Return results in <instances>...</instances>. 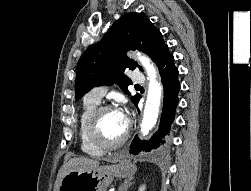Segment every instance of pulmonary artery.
Wrapping results in <instances>:
<instances>
[{
  "label": "pulmonary artery",
  "instance_id": "pulmonary-artery-1",
  "mask_svg": "<svg viewBox=\"0 0 251 191\" xmlns=\"http://www.w3.org/2000/svg\"><path fill=\"white\" fill-rule=\"evenodd\" d=\"M144 73H139V68H132V73L130 74V77L132 78V82H145ZM107 89L105 87H100L96 90L94 95H87L85 98H95L100 99L105 93Z\"/></svg>",
  "mask_w": 251,
  "mask_h": 191
}]
</instances>
